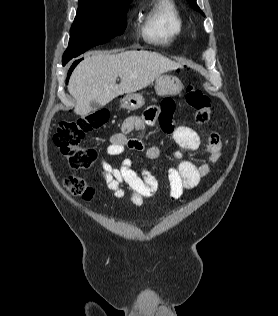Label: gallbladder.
<instances>
[{
  "mask_svg": "<svg viewBox=\"0 0 278 316\" xmlns=\"http://www.w3.org/2000/svg\"><path fill=\"white\" fill-rule=\"evenodd\" d=\"M90 106H91V111L94 112V111H97L98 109H100V105L94 101H92L90 103Z\"/></svg>",
  "mask_w": 278,
  "mask_h": 316,
  "instance_id": "gallbladder-1",
  "label": "gallbladder"
}]
</instances>
